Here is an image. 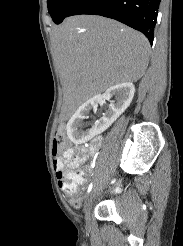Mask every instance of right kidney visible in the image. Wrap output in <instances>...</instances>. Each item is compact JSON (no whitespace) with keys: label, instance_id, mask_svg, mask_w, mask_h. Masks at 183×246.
Instances as JSON below:
<instances>
[{"label":"right kidney","instance_id":"1","mask_svg":"<svg viewBox=\"0 0 183 246\" xmlns=\"http://www.w3.org/2000/svg\"><path fill=\"white\" fill-rule=\"evenodd\" d=\"M135 93V87L131 82L120 83L106 90L103 95H96L83 103L67 123V134L69 139L80 144L91 139L93 136L104 132L111 124L128 108ZM115 96L116 102L112 101L109 110L103 114V117L95 123L90 131L79 129L83 119L89 113L90 109L101 103L104 99H110Z\"/></svg>","mask_w":183,"mask_h":246}]
</instances>
